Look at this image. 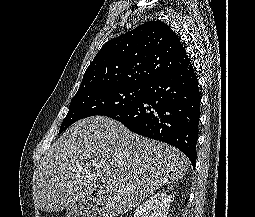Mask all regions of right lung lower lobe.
<instances>
[{"label":"right lung lower lobe","mask_w":255,"mask_h":217,"mask_svg":"<svg viewBox=\"0 0 255 217\" xmlns=\"http://www.w3.org/2000/svg\"><path fill=\"white\" fill-rule=\"evenodd\" d=\"M200 100L198 79L188 62L149 83L134 104L105 116L132 132L177 147L195 168Z\"/></svg>","instance_id":"98d812e1"}]
</instances>
